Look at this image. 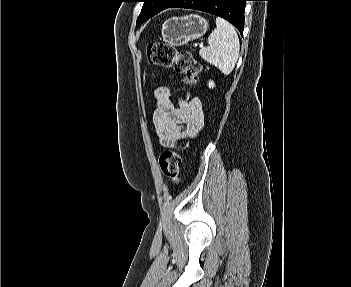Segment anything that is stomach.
<instances>
[{
  "label": "stomach",
  "mask_w": 351,
  "mask_h": 287,
  "mask_svg": "<svg viewBox=\"0 0 351 287\" xmlns=\"http://www.w3.org/2000/svg\"><path fill=\"white\" fill-rule=\"evenodd\" d=\"M208 27L207 20L199 15L172 17L162 25V38L172 46H181L202 37Z\"/></svg>",
  "instance_id": "stomach-1"
}]
</instances>
